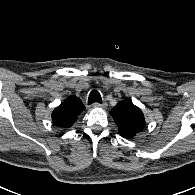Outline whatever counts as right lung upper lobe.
<instances>
[{"label": "right lung upper lobe", "mask_w": 195, "mask_h": 195, "mask_svg": "<svg viewBox=\"0 0 195 195\" xmlns=\"http://www.w3.org/2000/svg\"><path fill=\"white\" fill-rule=\"evenodd\" d=\"M84 109L85 107L81 100L72 95L54 109L52 113L53 123L61 128H70Z\"/></svg>", "instance_id": "1"}]
</instances>
